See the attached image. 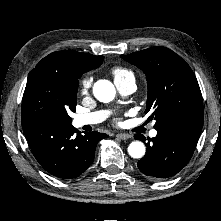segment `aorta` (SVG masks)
<instances>
[{"mask_svg":"<svg viewBox=\"0 0 221 221\" xmlns=\"http://www.w3.org/2000/svg\"><path fill=\"white\" fill-rule=\"evenodd\" d=\"M93 94L100 102H111L116 95L114 85L108 80H98L93 86ZM146 148L141 141H133L128 146V153L132 158H142Z\"/></svg>","mask_w":221,"mask_h":221,"instance_id":"1","label":"aorta"}]
</instances>
